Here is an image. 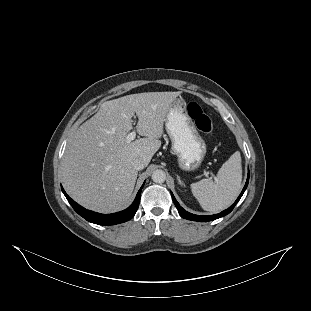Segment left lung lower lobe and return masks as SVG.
I'll list each match as a JSON object with an SVG mask.
<instances>
[{
	"label": "left lung lower lobe",
	"mask_w": 311,
	"mask_h": 311,
	"mask_svg": "<svg viewBox=\"0 0 311 311\" xmlns=\"http://www.w3.org/2000/svg\"><path fill=\"white\" fill-rule=\"evenodd\" d=\"M248 182H249V173H248V177H247V181H246V184L241 192V194L239 195V197L237 198V200L235 201V203L229 207L228 209L222 211L221 213L219 214H216V215H209V216H199V215H194V214H191L187 211H185L180 205L179 203L176 201L175 197L173 196V194L171 193V196H172V199H173V202L175 204V206L177 207L178 209V212L179 214L181 215V217L185 218V219H188V220H193V221H200V222H206V221H211V220H215L217 218H220V217H223L227 214H229L234 206L237 204V202L240 200V198L242 197L244 191L246 190L247 188V185H248Z\"/></svg>",
	"instance_id": "obj_1"
}]
</instances>
